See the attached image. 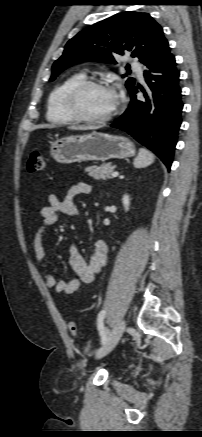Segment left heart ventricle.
Masks as SVG:
<instances>
[{
	"mask_svg": "<svg viewBox=\"0 0 202 437\" xmlns=\"http://www.w3.org/2000/svg\"><path fill=\"white\" fill-rule=\"evenodd\" d=\"M117 103V94L109 88H90L80 98L82 112L90 117L108 115Z\"/></svg>",
	"mask_w": 202,
	"mask_h": 437,
	"instance_id": "obj_1",
	"label": "left heart ventricle"
}]
</instances>
